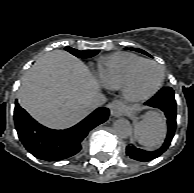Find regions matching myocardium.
I'll list each match as a JSON object with an SVG mask.
<instances>
[{"label": "myocardium", "mask_w": 194, "mask_h": 193, "mask_svg": "<svg viewBox=\"0 0 194 193\" xmlns=\"http://www.w3.org/2000/svg\"><path fill=\"white\" fill-rule=\"evenodd\" d=\"M145 64H151L159 68L160 69V79L157 85L155 86V88L151 90L150 92L144 93V94H136L132 92V86H133L138 70ZM164 79H165L164 67L160 63L154 60L144 59L140 61L139 63H137L128 73L126 79L124 80L120 88L121 94L123 98L128 102H142V101L148 100L151 97H153L157 92H159V90L162 88Z\"/></svg>", "instance_id": "f54148a6"}]
</instances>
